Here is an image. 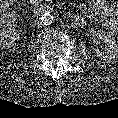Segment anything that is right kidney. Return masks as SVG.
Returning a JSON list of instances; mask_svg holds the SVG:
<instances>
[{
    "instance_id": "obj_1",
    "label": "right kidney",
    "mask_w": 118,
    "mask_h": 118,
    "mask_svg": "<svg viewBox=\"0 0 118 118\" xmlns=\"http://www.w3.org/2000/svg\"><path fill=\"white\" fill-rule=\"evenodd\" d=\"M19 38H20V33L18 32V30L14 28L4 29L3 31H0V47L1 48L10 47L17 40H19Z\"/></svg>"
}]
</instances>
